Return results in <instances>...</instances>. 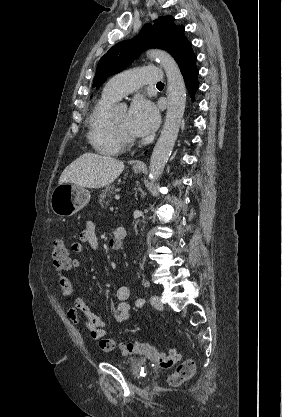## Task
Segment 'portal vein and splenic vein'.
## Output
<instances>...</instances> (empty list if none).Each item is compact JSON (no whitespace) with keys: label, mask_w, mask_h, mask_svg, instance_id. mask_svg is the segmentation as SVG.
<instances>
[{"label":"portal vein and splenic vein","mask_w":282,"mask_h":417,"mask_svg":"<svg viewBox=\"0 0 282 417\" xmlns=\"http://www.w3.org/2000/svg\"><path fill=\"white\" fill-rule=\"evenodd\" d=\"M116 198H117L118 200H121V199H122V196H121V195H118V196H116Z\"/></svg>","instance_id":"18ae733b"}]
</instances>
